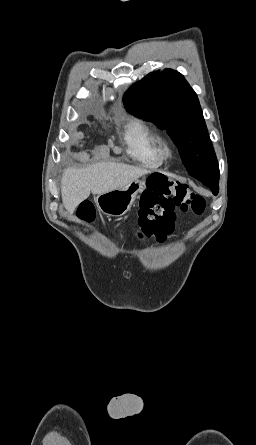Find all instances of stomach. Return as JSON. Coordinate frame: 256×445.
<instances>
[{
  "instance_id": "1",
  "label": "stomach",
  "mask_w": 256,
  "mask_h": 445,
  "mask_svg": "<svg viewBox=\"0 0 256 445\" xmlns=\"http://www.w3.org/2000/svg\"><path fill=\"white\" fill-rule=\"evenodd\" d=\"M146 188V178L137 179L125 187L112 190L96 197L98 209L107 216L125 215L133 205L136 197Z\"/></svg>"
}]
</instances>
